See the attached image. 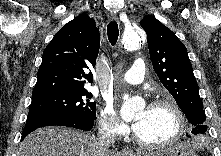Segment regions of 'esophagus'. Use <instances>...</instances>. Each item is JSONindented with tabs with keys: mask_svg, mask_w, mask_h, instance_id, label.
<instances>
[{
	"mask_svg": "<svg viewBox=\"0 0 221 156\" xmlns=\"http://www.w3.org/2000/svg\"><path fill=\"white\" fill-rule=\"evenodd\" d=\"M110 19L113 21L117 20V15L112 13L110 15ZM121 154H122V156H136V154L133 151L129 150L128 148L122 149Z\"/></svg>",
	"mask_w": 221,
	"mask_h": 156,
	"instance_id": "obj_1",
	"label": "esophagus"
}]
</instances>
